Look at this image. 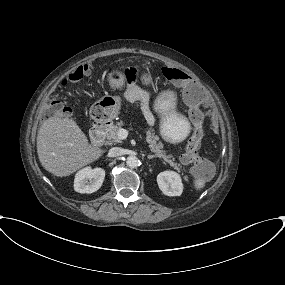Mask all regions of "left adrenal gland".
<instances>
[{
    "mask_svg": "<svg viewBox=\"0 0 285 285\" xmlns=\"http://www.w3.org/2000/svg\"><path fill=\"white\" fill-rule=\"evenodd\" d=\"M154 157H155L154 155H148V156H147V159L150 160V159H153Z\"/></svg>",
    "mask_w": 285,
    "mask_h": 285,
    "instance_id": "left-adrenal-gland-1",
    "label": "left adrenal gland"
}]
</instances>
